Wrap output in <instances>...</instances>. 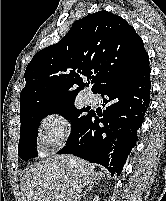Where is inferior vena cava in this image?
Segmentation results:
<instances>
[{
	"instance_id": "obj_1",
	"label": "inferior vena cava",
	"mask_w": 166,
	"mask_h": 201,
	"mask_svg": "<svg viewBox=\"0 0 166 201\" xmlns=\"http://www.w3.org/2000/svg\"><path fill=\"white\" fill-rule=\"evenodd\" d=\"M71 161V163H74V160H70ZM75 191H76V199L78 200V201H80V199H81V192H82V189L80 188V186H76V189H75Z\"/></svg>"
}]
</instances>
